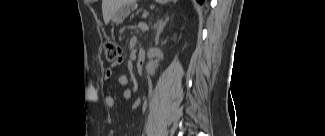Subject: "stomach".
Listing matches in <instances>:
<instances>
[{
	"mask_svg": "<svg viewBox=\"0 0 325 136\" xmlns=\"http://www.w3.org/2000/svg\"><path fill=\"white\" fill-rule=\"evenodd\" d=\"M157 2L164 4L167 2V0H157ZM138 7H139L138 1H129V2L125 3L124 5H122L117 11H115L111 20L117 24L122 23L124 21V19L128 15H131L132 12H135L136 8H138Z\"/></svg>",
	"mask_w": 325,
	"mask_h": 136,
	"instance_id": "obj_1",
	"label": "stomach"
}]
</instances>
